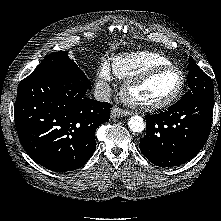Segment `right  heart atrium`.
Masks as SVG:
<instances>
[{
    "label": "right heart atrium",
    "mask_w": 221,
    "mask_h": 221,
    "mask_svg": "<svg viewBox=\"0 0 221 221\" xmlns=\"http://www.w3.org/2000/svg\"><path fill=\"white\" fill-rule=\"evenodd\" d=\"M97 84L100 90L106 91L108 88V84L110 83L111 76V68L108 63L103 62L97 69L96 72Z\"/></svg>",
    "instance_id": "obj_1"
}]
</instances>
